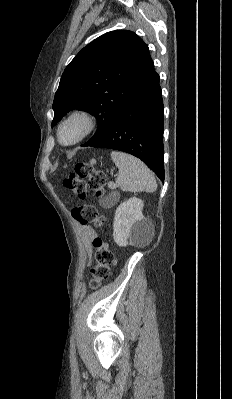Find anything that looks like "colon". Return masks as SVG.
<instances>
[{"mask_svg": "<svg viewBox=\"0 0 232 399\" xmlns=\"http://www.w3.org/2000/svg\"><path fill=\"white\" fill-rule=\"evenodd\" d=\"M97 165V160H82L81 163H76L75 175H67V180H62V185L69 186V194L77 196V201L81 203H70V214L76 218V222H101L102 233H107V220L97 217L99 213V199H94V203H86V186H93L94 191L98 195L102 194V187H105L106 194H111V173H106L102 170H94ZM81 180V181H79ZM94 264L90 265V274L94 275V284H91V289H96V285L102 282L107 284L108 274H113L114 253H111V242H106L102 245V237L94 238ZM109 264V267L107 266Z\"/></svg>", "mask_w": 232, "mask_h": 399, "instance_id": "1", "label": "colon"}]
</instances>
